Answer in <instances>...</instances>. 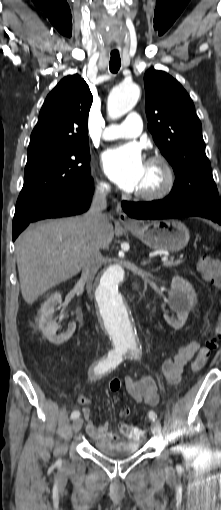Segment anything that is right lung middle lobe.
I'll list each match as a JSON object with an SVG mask.
<instances>
[{
    "mask_svg": "<svg viewBox=\"0 0 221 510\" xmlns=\"http://www.w3.org/2000/svg\"><path fill=\"white\" fill-rule=\"evenodd\" d=\"M89 163L88 144L28 155L15 215L28 218L51 201L85 185L90 179Z\"/></svg>",
    "mask_w": 221,
    "mask_h": 510,
    "instance_id": "obj_1",
    "label": "right lung middle lobe"
}]
</instances>
